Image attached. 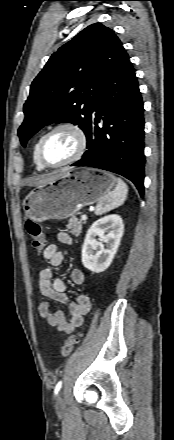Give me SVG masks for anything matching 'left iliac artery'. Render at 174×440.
I'll list each match as a JSON object with an SVG mask.
<instances>
[{
  "instance_id": "obj_1",
  "label": "left iliac artery",
  "mask_w": 174,
  "mask_h": 440,
  "mask_svg": "<svg viewBox=\"0 0 174 440\" xmlns=\"http://www.w3.org/2000/svg\"><path fill=\"white\" fill-rule=\"evenodd\" d=\"M61 387H62V381H59V382L56 384L55 389H54V394H55V395L58 394V392L60 391Z\"/></svg>"
}]
</instances>
